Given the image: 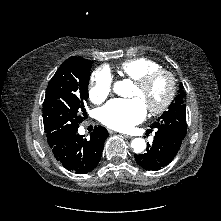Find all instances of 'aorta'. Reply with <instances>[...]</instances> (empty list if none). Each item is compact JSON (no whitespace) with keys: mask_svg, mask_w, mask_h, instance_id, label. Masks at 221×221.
Returning <instances> with one entry per match:
<instances>
[{"mask_svg":"<svg viewBox=\"0 0 221 221\" xmlns=\"http://www.w3.org/2000/svg\"><path fill=\"white\" fill-rule=\"evenodd\" d=\"M125 89H126L125 81L116 82L113 87L114 92L120 96L124 95ZM131 147L133 148L134 152L141 153L146 148V142L142 138H135L131 142Z\"/></svg>","mask_w":221,"mask_h":221,"instance_id":"obj_1","label":"aorta"}]
</instances>
